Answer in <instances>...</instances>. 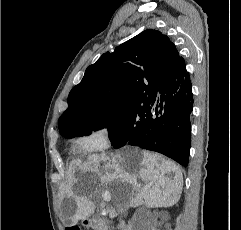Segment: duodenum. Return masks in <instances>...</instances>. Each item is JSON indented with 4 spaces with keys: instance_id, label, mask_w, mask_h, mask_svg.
Here are the masks:
<instances>
[{
    "instance_id": "1",
    "label": "duodenum",
    "mask_w": 241,
    "mask_h": 230,
    "mask_svg": "<svg viewBox=\"0 0 241 230\" xmlns=\"http://www.w3.org/2000/svg\"><path fill=\"white\" fill-rule=\"evenodd\" d=\"M83 223L91 228L103 229L105 222L100 221L99 219H85Z\"/></svg>"
}]
</instances>
